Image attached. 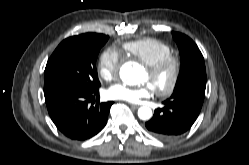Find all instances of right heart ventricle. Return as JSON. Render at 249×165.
Instances as JSON below:
<instances>
[{"mask_svg":"<svg viewBox=\"0 0 249 165\" xmlns=\"http://www.w3.org/2000/svg\"><path fill=\"white\" fill-rule=\"evenodd\" d=\"M122 47L131 57L146 65L171 54V47L166 42L156 38L148 37L128 41Z\"/></svg>","mask_w":249,"mask_h":165,"instance_id":"right-heart-ventricle-1","label":"right heart ventricle"}]
</instances>
